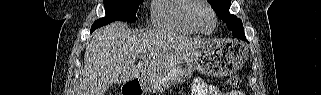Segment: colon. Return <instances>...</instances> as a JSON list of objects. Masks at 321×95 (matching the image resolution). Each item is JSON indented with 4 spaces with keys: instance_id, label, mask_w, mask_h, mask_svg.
Masks as SVG:
<instances>
[{
    "instance_id": "1",
    "label": "colon",
    "mask_w": 321,
    "mask_h": 95,
    "mask_svg": "<svg viewBox=\"0 0 321 95\" xmlns=\"http://www.w3.org/2000/svg\"><path fill=\"white\" fill-rule=\"evenodd\" d=\"M227 85L229 87L237 88L241 85V80L239 77H236V76L231 77L227 80Z\"/></svg>"
}]
</instances>
